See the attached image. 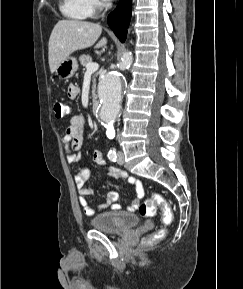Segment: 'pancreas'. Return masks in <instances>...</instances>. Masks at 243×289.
<instances>
[{
    "instance_id": "1",
    "label": "pancreas",
    "mask_w": 243,
    "mask_h": 289,
    "mask_svg": "<svg viewBox=\"0 0 243 289\" xmlns=\"http://www.w3.org/2000/svg\"><path fill=\"white\" fill-rule=\"evenodd\" d=\"M79 61H80L81 65L86 68L88 63H92V57L90 55L83 54V55H81L79 57ZM96 76H97V74H95V76L93 78V86H92V96L93 97H95V90H96V79H95V77Z\"/></svg>"
}]
</instances>
